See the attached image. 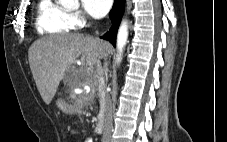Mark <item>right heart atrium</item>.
<instances>
[{"mask_svg": "<svg viewBox=\"0 0 227 142\" xmlns=\"http://www.w3.org/2000/svg\"><path fill=\"white\" fill-rule=\"evenodd\" d=\"M70 16L74 26H80L84 23V18L80 12H73Z\"/></svg>", "mask_w": 227, "mask_h": 142, "instance_id": "obj_1", "label": "right heart atrium"}]
</instances>
